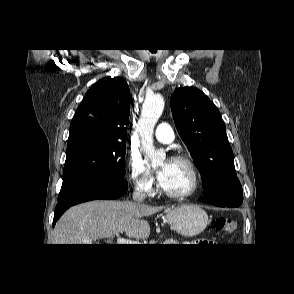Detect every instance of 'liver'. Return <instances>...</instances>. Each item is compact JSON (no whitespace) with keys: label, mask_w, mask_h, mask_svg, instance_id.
<instances>
[{"label":"liver","mask_w":294,"mask_h":294,"mask_svg":"<svg viewBox=\"0 0 294 294\" xmlns=\"http://www.w3.org/2000/svg\"><path fill=\"white\" fill-rule=\"evenodd\" d=\"M162 209L132 201L82 203L67 210L58 220L53 244H93L97 239L123 232L130 238H147L150 225L141 218Z\"/></svg>","instance_id":"liver-1"}]
</instances>
